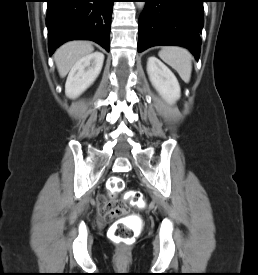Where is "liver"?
<instances>
[{
    "mask_svg": "<svg viewBox=\"0 0 258 275\" xmlns=\"http://www.w3.org/2000/svg\"><path fill=\"white\" fill-rule=\"evenodd\" d=\"M93 50L91 43L86 41H71L62 45L54 54L59 75L65 77L77 61Z\"/></svg>",
    "mask_w": 258,
    "mask_h": 275,
    "instance_id": "1",
    "label": "liver"
}]
</instances>
